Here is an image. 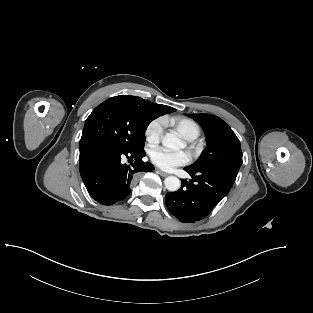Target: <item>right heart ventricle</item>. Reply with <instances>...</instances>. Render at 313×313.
Returning <instances> with one entry per match:
<instances>
[{
    "instance_id": "obj_1",
    "label": "right heart ventricle",
    "mask_w": 313,
    "mask_h": 313,
    "mask_svg": "<svg viewBox=\"0 0 313 313\" xmlns=\"http://www.w3.org/2000/svg\"><path fill=\"white\" fill-rule=\"evenodd\" d=\"M165 122L177 130L188 141L195 140L201 133L200 125L187 117L175 116L165 119Z\"/></svg>"
}]
</instances>
